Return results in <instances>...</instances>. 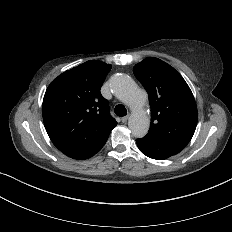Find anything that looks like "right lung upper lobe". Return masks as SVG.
<instances>
[{
	"label": "right lung upper lobe",
	"mask_w": 232,
	"mask_h": 232,
	"mask_svg": "<svg viewBox=\"0 0 232 232\" xmlns=\"http://www.w3.org/2000/svg\"><path fill=\"white\" fill-rule=\"evenodd\" d=\"M111 67L90 60L62 73L48 86L42 104L43 121L61 152L93 149L106 142L117 125L100 93Z\"/></svg>",
	"instance_id": "obj_1"
}]
</instances>
